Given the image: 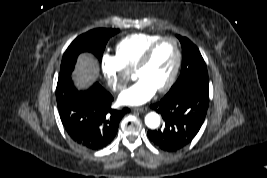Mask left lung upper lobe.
Returning a JSON list of instances; mask_svg holds the SVG:
<instances>
[{
    "mask_svg": "<svg viewBox=\"0 0 267 178\" xmlns=\"http://www.w3.org/2000/svg\"><path fill=\"white\" fill-rule=\"evenodd\" d=\"M182 46V69L170 92L189 84H200L208 87V72L204 59L198 48L187 38L178 36Z\"/></svg>",
    "mask_w": 267,
    "mask_h": 178,
    "instance_id": "5c2ea615",
    "label": "left lung upper lobe"
}]
</instances>
